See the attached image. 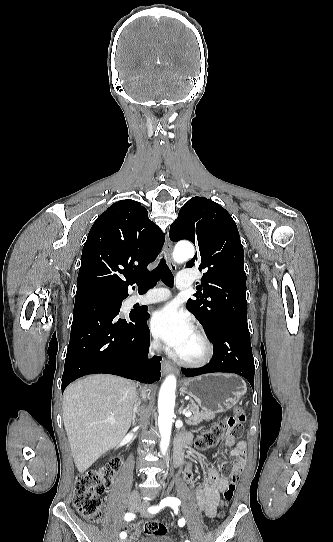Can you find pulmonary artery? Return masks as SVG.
I'll return each instance as SVG.
<instances>
[{
  "label": "pulmonary artery",
  "mask_w": 333,
  "mask_h": 542,
  "mask_svg": "<svg viewBox=\"0 0 333 542\" xmlns=\"http://www.w3.org/2000/svg\"><path fill=\"white\" fill-rule=\"evenodd\" d=\"M193 273L194 270L192 267L187 266L184 268V270H180L176 272V282L175 285L178 288L179 291H186L187 288L190 287V284L193 282ZM168 292L164 290H153V289H147L145 291L144 295V301H141V304L149 305V304H155L160 303L165 300H167Z\"/></svg>",
  "instance_id": "pulmonary-artery-1"
}]
</instances>
